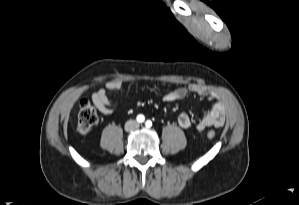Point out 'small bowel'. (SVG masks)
Segmentation results:
<instances>
[{
  "label": "small bowel",
  "instance_id": "small-bowel-1",
  "mask_svg": "<svg viewBox=\"0 0 299 205\" xmlns=\"http://www.w3.org/2000/svg\"><path fill=\"white\" fill-rule=\"evenodd\" d=\"M123 83L119 79L108 81L103 88L93 92L92 101L96 108L104 115H111L113 107L109 101L108 93L121 89ZM189 92L195 93L202 97H207L212 101L210 110L198 121H194L187 113H181L178 117V124L184 129H189L193 125L203 131L208 127H221L225 122V108L219 97L210 91L205 85L192 83L187 87H179L167 92L164 95V101L174 102L184 99Z\"/></svg>",
  "mask_w": 299,
  "mask_h": 205
}]
</instances>
